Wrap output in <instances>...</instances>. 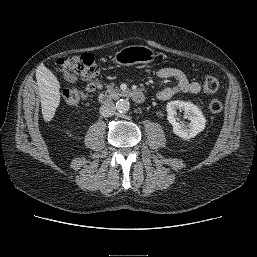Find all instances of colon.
Returning a JSON list of instances; mask_svg holds the SVG:
<instances>
[{"mask_svg": "<svg viewBox=\"0 0 257 257\" xmlns=\"http://www.w3.org/2000/svg\"><path fill=\"white\" fill-rule=\"evenodd\" d=\"M55 68L64 75L78 74L87 81L85 90L66 89L63 91V99L70 105L85 104L89 95L99 88L98 66L94 57L89 53L60 58L55 62ZM219 88V82L215 77H207L203 84L206 94H214ZM223 104L218 98H212L209 102V111L218 114L222 111Z\"/></svg>", "mask_w": 257, "mask_h": 257, "instance_id": "5ec220e1", "label": "colon"}]
</instances>
